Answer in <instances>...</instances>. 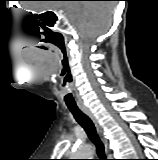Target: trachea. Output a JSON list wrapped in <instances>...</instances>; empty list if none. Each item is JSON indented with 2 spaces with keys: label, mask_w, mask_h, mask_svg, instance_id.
I'll list each match as a JSON object with an SVG mask.
<instances>
[{
  "label": "trachea",
  "mask_w": 158,
  "mask_h": 160,
  "mask_svg": "<svg viewBox=\"0 0 158 160\" xmlns=\"http://www.w3.org/2000/svg\"><path fill=\"white\" fill-rule=\"evenodd\" d=\"M67 107L73 114L76 121L84 128L89 139L95 144L97 154L100 157L98 160H107L104 152V145L99 140L92 120L85 113H83L77 105H67Z\"/></svg>",
  "instance_id": "obj_1"
}]
</instances>
